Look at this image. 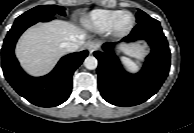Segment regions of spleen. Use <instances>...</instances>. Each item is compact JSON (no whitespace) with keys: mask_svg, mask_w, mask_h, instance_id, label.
Wrapping results in <instances>:
<instances>
[{"mask_svg":"<svg viewBox=\"0 0 194 133\" xmlns=\"http://www.w3.org/2000/svg\"><path fill=\"white\" fill-rule=\"evenodd\" d=\"M121 61L125 69L129 72H137L140 68V65L138 62H134L128 58L122 57Z\"/></svg>","mask_w":194,"mask_h":133,"instance_id":"spleen-1","label":"spleen"}]
</instances>
